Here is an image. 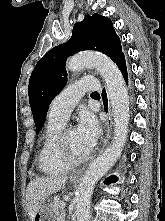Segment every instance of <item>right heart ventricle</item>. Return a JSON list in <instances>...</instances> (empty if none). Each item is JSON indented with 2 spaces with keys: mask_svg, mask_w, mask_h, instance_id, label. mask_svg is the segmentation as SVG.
<instances>
[{
  "mask_svg": "<svg viewBox=\"0 0 165 221\" xmlns=\"http://www.w3.org/2000/svg\"><path fill=\"white\" fill-rule=\"evenodd\" d=\"M65 122L48 119L38 155V167L47 175H60L68 172L72 166L65 163L58 152V138Z\"/></svg>",
  "mask_w": 165,
  "mask_h": 221,
  "instance_id": "obj_1",
  "label": "right heart ventricle"
}]
</instances>
